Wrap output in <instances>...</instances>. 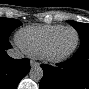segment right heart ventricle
<instances>
[{
    "mask_svg": "<svg viewBox=\"0 0 89 89\" xmlns=\"http://www.w3.org/2000/svg\"><path fill=\"white\" fill-rule=\"evenodd\" d=\"M62 25H29L18 31L16 39L19 46L29 55L41 57L43 47Z\"/></svg>",
    "mask_w": 89,
    "mask_h": 89,
    "instance_id": "obj_1",
    "label": "right heart ventricle"
}]
</instances>
